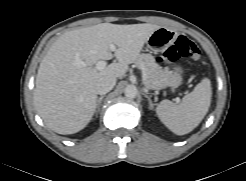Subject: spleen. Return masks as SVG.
Returning a JSON list of instances; mask_svg holds the SVG:
<instances>
[{
  "label": "spleen",
  "mask_w": 246,
  "mask_h": 181,
  "mask_svg": "<svg viewBox=\"0 0 246 181\" xmlns=\"http://www.w3.org/2000/svg\"><path fill=\"white\" fill-rule=\"evenodd\" d=\"M212 97L211 83L204 78L194 90L177 105L170 100L161 101L156 113L161 122L177 135L190 133L207 114Z\"/></svg>",
  "instance_id": "obj_1"
}]
</instances>
